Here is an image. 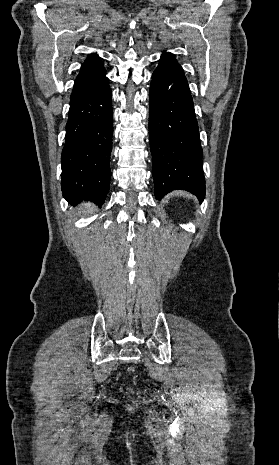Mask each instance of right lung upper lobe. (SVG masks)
I'll return each instance as SVG.
<instances>
[{
  "instance_id": "1",
  "label": "right lung upper lobe",
  "mask_w": 279,
  "mask_h": 465,
  "mask_svg": "<svg viewBox=\"0 0 279 465\" xmlns=\"http://www.w3.org/2000/svg\"><path fill=\"white\" fill-rule=\"evenodd\" d=\"M105 72L100 58L96 54H90L82 64L80 73L75 80L70 101L105 77Z\"/></svg>"
}]
</instances>
